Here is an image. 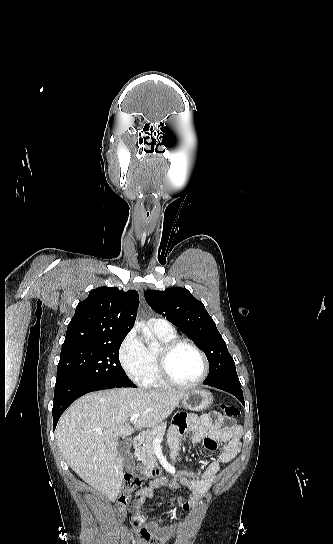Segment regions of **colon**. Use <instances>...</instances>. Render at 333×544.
Segmentation results:
<instances>
[{
	"mask_svg": "<svg viewBox=\"0 0 333 544\" xmlns=\"http://www.w3.org/2000/svg\"><path fill=\"white\" fill-rule=\"evenodd\" d=\"M221 411L227 418L230 419L236 418L239 415V409L234 405H222ZM141 484L142 481L139 478L130 474L125 475L122 490L116 502V509L121 516L125 514L127 507L132 502L133 492L135 489L141 486Z\"/></svg>",
	"mask_w": 333,
	"mask_h": 544,
	"instance_id": "5ec220e1",
	"label": "colon"
}]
</instances>
